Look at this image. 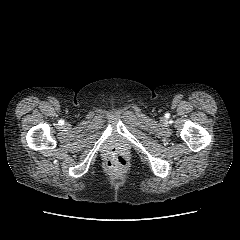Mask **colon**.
Returning <instances> with one entry per match:
<instances>
[{
  "label": "colon",
  "mask_w": 240,
  "mask_h": 240,
  "mask_svg": "<svg viewBox=\"0 0 240 240\" xmlns=\"http://www.w3.org/2000/svg\"><path fill=\"white\" fill-rule=\"evenodd\" d=\"M127 166V160L122 155L113 156L107 163L106 167L110 170H123Z\"/></svg>",
  "instance_id": "5ec220e1"
}]
</instances>
